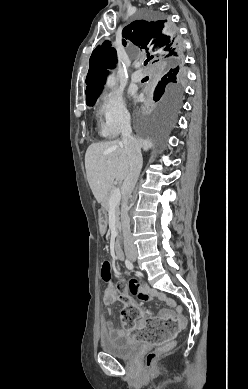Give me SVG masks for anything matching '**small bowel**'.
<instances>
[{
  "label": "small bowel",
  "instance_id": "1",
  "mask_svg": "<svg viewBox=\"0 0 248 389\" xmlns=\"http://www.w3.org/2000/svg\"><path fill=\"white\" fill-rule=\"evenodd\" d=\"M130 281L132 283L130 285H128L127 290L131 294L135 295L140 303H143V302H145V301H147L149 299L155 298V299H158V300L164 302L168 307H170L172 309H175L174 311L173 310H167V311L162 312L159 315L160 317H162V318H170V317H175V316H179V317L182 316V308H181V306H176V303H175V301L173 299L168 298L164 293H161V292H158V291H156L154 289H151V288H149L146 285H144L142 287H140V285H135V282H140L141 281L140 277H135V278L131 277ZM112 288H114V287H112ZM123 297L126 300L128 298V296H123ZM115 301H113L111 303H105L108 306V308H107L108 312L111 311L109 305H111ZM151 317H154V315H152V314L144 315L141 318V320L136 323V326H139V327L142 326V324L147 319H149ZM100 329H101V336L118 333L121 336L126 337L129 333L132 332V331H126L124 329L121 330V331H117V330L114 329V323L112 321H104V320L101 322Z\"/></svg>",
  "mask_w": 248,
  "mask_h": 389
}]
</instances>
